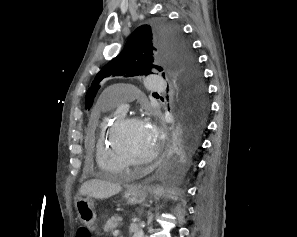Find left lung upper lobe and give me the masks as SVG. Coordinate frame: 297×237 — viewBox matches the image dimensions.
Segmentation results:
<instances>
[{"mask_svg": "<svg viewBox=\"0 0 297 237\" xmlns=\"http://www.w3.org/2000/svg\"><path fill=\"white\" fill-rule=\"evenodd\" d=\"M157 57L169 60L176 68L178 92L197 105L207 104L205 85L190 45L177 27L158 21L154 26L138 27L123 51L96 75L86 94V108L91 107L99 84L106 77L149 74L151 68L162 71L160 66L152 64Z\"/></svg>", "mask_w": 297, "mask_h": 237, "instance_id": "5c2ea615", "label": "left lung upper lobe"}]
</instances>
